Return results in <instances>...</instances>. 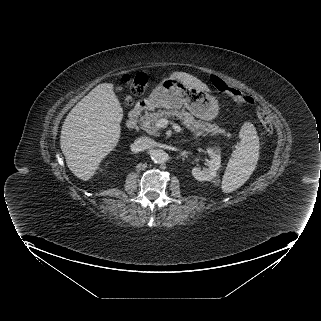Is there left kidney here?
Here are the masks:
<instances>
[{"mask_svg":"<svg viewBox=\"0 0 321 321\" xmlns=\"http://www.w3.org/2000/svg\"><path fill=\"white\" fill-rule=\"evenodd\" d=\"M207 153L210 157L208 168L195 167L192 169V175L198 181H211L221 167L220 149L211 147L207 149Z\"/></svg>","mask_w":321,"mask_h":321,"instance_id":"5707ae66","label":"left kidney"}]
</instances>
